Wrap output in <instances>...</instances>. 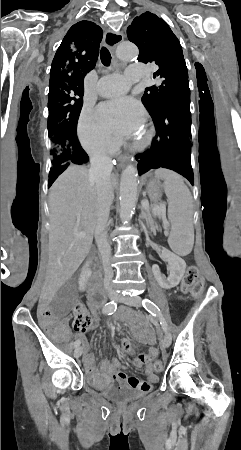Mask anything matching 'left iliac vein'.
<instances>
[{"instance_id":"left-iliac-vein-1","label":"left iliac vein","mask_w":241,"mask_h":450,"mask_svg":"<svg viewBox=\"0 0 241 450\" xmlns=\"http://www.w3.org/2000/svg\"><path fill=\"white\" fill-rule=\"evenodd\" d=\"M117 301H122L125 304L134 306V307H140L141 306V298L136 297H127L123 295H119L117 297ZM171 343V335L169 332H166L165 336L161 338V345L163 348H167Z\"/></svg>"}]
</instances>
